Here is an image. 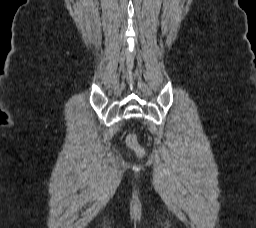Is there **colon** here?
Returning <instances> with one entry per match:
<instances>
[{
    "mask_svg": "<svg viewBox=\"0 0 256 228\" xmlns=\"http://www.w3.org/2000/svg\"><path fill=\"white\" fill-rule=\"evenodd\" d=\"M126 143L129 148H131L138 156H143L145 151L144 148L140 145L137 139V135L131 133L126 138Z\"/></svg>",
    "mask_w": 256,
    "mask_h": 228,
    "instance_id": "5ec220e1",
    "label": "colon"
}]
</instances>
